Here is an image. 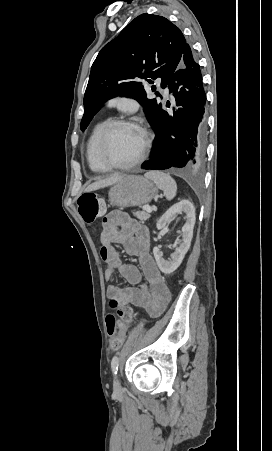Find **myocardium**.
I'll use <instances>...</instances> for the list:
<instances>
[{"label": "myocardium", "mask_w": 272, "mask_h": 451, "mask_svg": "<svg viewBox=\"0 0 272 451\" xmlns=\"http://www.w3.org/2000/svg\"><path fill=\"white\" fill-rule=\"evenodd\" d=\"M115 126L132 127L138 132L139 136H138V140L135 142L132 154H131L130 158L128 159V161L121 165L110 166L106 163V160H105V149H106V144L108 141L109 134ZM148 138L149 137H148V134H147L145 128H143L137 122H134L132 120H127V119H112V120L107 121L100 132L98 142H97V157H98V161H99L102 172H118V171L125 169L127 164L134 162L139 157V155L142 153V151L144 150V147H145V143L148 140Z\"/></svg>", "instance_id": "myocardium-1"}]
</instances>
